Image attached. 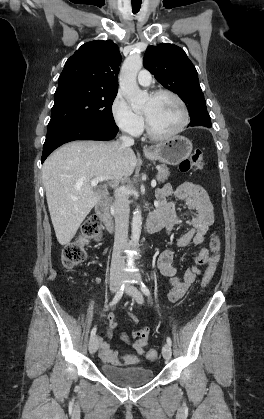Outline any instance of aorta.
Masks as SVG:
<instances>
[{"label": "aorta", "mask_w": 264, "mask_h": 419, "mask_svg": "<svg viewBox=\"0 0 264 419\" xmlns=\"http://www.w3.org/2000/svg\"><path fill=\"white\" fill-rule=\"evenodd\" d=\"M142 65L143 60L139 54L130 55L125 59L119 75L121 91L134 110L141 108L148 99V93L141 91L136 81L137 73ZM141 227L142 215L140 208L137 207L132 219V240L134 244L139 241Z\"/></svg>", "instance_id": "aorta-1"}]
</instances>
